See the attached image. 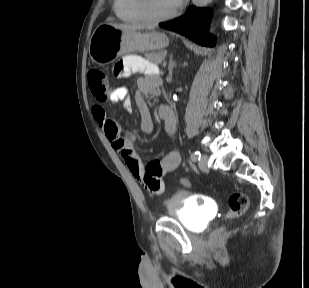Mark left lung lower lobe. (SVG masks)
Wrapping results in <instances>:
<instances>
[{"label": "left lung lower lobe", "instance_id": "obj_1", "mask_svg": "<svg viewBox=\"0 0 309 288\" xmlns=\"http://www.w3.org/2000/svg\"><path fill=\"white\" fill-rule=\"evenodd\" d=\"M210 18L211 12L208 9L191 6L185 15L168 22L160 23L159 26L186 35L198 44L213 46L215 43L214 37L205 34L210 23Z\"/></svg>", "mask_w": 309, "mask_h": 288}]
</instances>
